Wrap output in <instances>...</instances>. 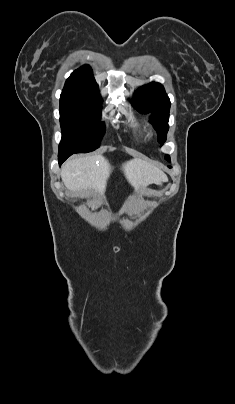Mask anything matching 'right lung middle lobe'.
<instances>
[{
    "label": "right lung middle lobe",
    "mask_w": 235,
    "mask_h": 404,
    "mask_svg": "<svg viewBox=\"0 0 235 404\" xmlns=\"http://www.w3.org/2000/svg\"><path fill=\"white\" fill-rule=\"evenodd\" d=\"M101 102L60 98L62 140L59 155L87 153L99 147L105 126L100 122Z\"/></svg>",
    "instance_id": "obj_1"
}]
</instances>
